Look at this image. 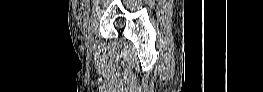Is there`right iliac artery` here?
<instances>
[{
  "mask_svg": "<svg viewBox=\"0 0 263 92\" xmlns=\"http://www.w3.org/2000/svg\"><path fill=\"white\" fill-rule=\"evenodd\" d=\"M91 10L90 4H87L86 7V11H85V18H84V22L82 25V28L84 29V32L86 29L89 28L90 22H89V18H88V12Z\"/></svg>",
  "mask_w": 263,
  "mask_h": 92,
  "instance_id": "right-iliac-artery-1",
  "label": "right iliac artery"
}]
</instances>
